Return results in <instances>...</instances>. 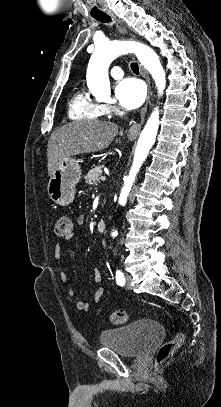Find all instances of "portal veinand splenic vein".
<instances>
[{
  "instance_id": "18ae733b",
  "label": "portal vein and splenic vein",
  "mask_w": 221,
  "mask_h": 407,
  "mask_svg": "<svg viewBox=\"0 0 221 407\" xmlns=\"http://www.w3.org/2000/svg\"><path fill=\"white\" fill-rule=\"evenodd\" d=\"M101 181H105L106 180V176H101Z\"/></svg>"
}]
</instances>
